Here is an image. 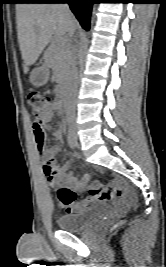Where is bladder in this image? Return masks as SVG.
I'll list each match as a JSON object with an SVG mask.
<instances>
[{
    "instance_id": "bladder-1",
    "label": "bladder",
    "mask_w": 166,
    "mask_h": 267,
    "mask_svg": "<svg viewBox=\"0 0 166 267\" xmlns=\"http://www.w3.org/2000/svg\"><path fill=\"white\" fill-rule=\"evenodd\" d=\"M99 219L98 210H84L75 213L61 215L57 219V225L61 230L78 231L95 223Z\"/></svg>"
}]
</instances>
